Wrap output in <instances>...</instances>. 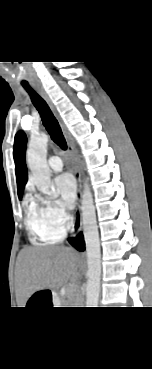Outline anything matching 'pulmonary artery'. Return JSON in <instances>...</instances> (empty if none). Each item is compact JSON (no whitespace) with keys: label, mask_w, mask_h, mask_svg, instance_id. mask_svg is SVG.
Masks as SVG:
<instances>
[{"label":"pulmonary artery","mask_w":152,"mask_h":369,"mask_svg":"<svg viewBox=\"0 0 152 369\" xmlns=\"http://www.w3.org/2000/svg\"><path fill=\"white\" fill-rule=\"evenodd\" d=\"M48 165L49 167L54 171H60L63 168V162L59 156H51L48 159Z\"/></svg>","instance_id":"obj_1"}]
</instances>
